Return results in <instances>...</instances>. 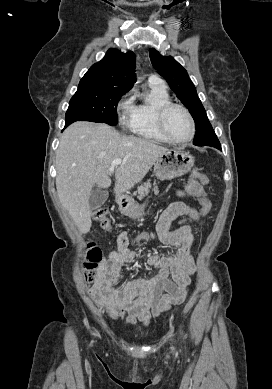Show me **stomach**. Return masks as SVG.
Instances as JSON below:
<instances>
[{
  "label": "stomach",
  "mask_w": 272,
  "mask_h": 389,
  "mask_svg": "<svg viewBox=\"0 0 272 389\" xmlns=\"http://www.w3.org/2000/svg\"><path fill=\"white\" fill-rule=\"evenodd\" d=\"M195 159L189 152L178 149L168 150L160 155L154 164V174L160 180H171L188 173ZM121 212L131 218L142 216L144 205L140 206L127 196L117 200Z\"/></svg>",
  "instance_id": "obj_1"
}]
</instances>
